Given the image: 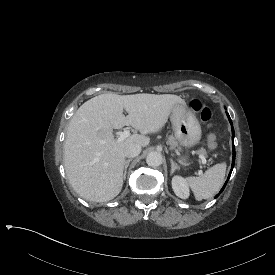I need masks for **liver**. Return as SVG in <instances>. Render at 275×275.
<instances>
[{"label": "liver", "mask_w": 275, "mask_h": 275, "mask_svg": "<svg viewBox=\"0 0 275 275\" xmlns=\"http://www.w3.org/2000/svg\"><path fill=\"white\" fill-rule=\"evenodd\" d=\"M178 103L186 106L184 99L172 94L108 93L82 104L69 123L64 144V165L73 189L94 202L116 197L123 185L124 148L130 143L145 147L150 138L133 134L118 141L113 129L132 126L141 132H157Z\"/></svg>", "instance_id": "1"}]
</instances>
